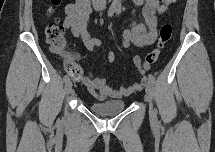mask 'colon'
<instances>
[{
    "label": "colon",
    "instance_id": "1",
    "mask_svg": "<svg viewBox=\"0 0 215 152\" xmlns=\"http://www.w3.org/2000/svg\"><path fill=\"white\" fill-rule=\"evenodd\" d=\"M62 0H51L48 7H47V14L52 15L55 13L56 8L60 6ZM169 1H165L164 4H168ZM172 26L168 23L164 24L160 29L159 39L155 48L148 53L142 62H136L135 68L136 71L140 74H144L148 68L154 64L163 47L170 41L172 37ZM45 37L47 45L50 47L51 50L57 53H64L65 52V36H64V29L61 25L57 23H50L47 25L45 29ZM69 59L65 65L66 72L73 78H78L82 74V70L80 66L77 64L74 55L69 54Z\"/></svg>",
    "mask_w": 215,
    "mask_h": 152
}]
</instances>
